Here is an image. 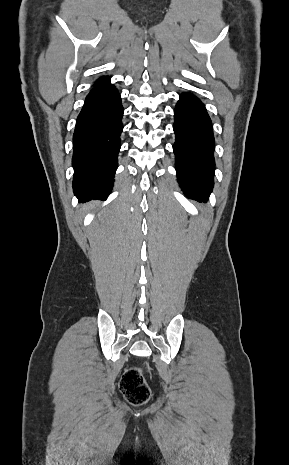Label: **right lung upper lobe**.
<instances>
[{"instance_id":"cb5924a9","label":"right lung upper lobe","mask_w":289,"mask_h":465,"mask_svg":"<svg viewBox=\"0 0 289 465\" xmlns=\"http://www.w3.org/2000/svg\"><path fill=\"white\" fill-rule=\"evenodd\" d=\"M107 80H109V78L106 77V76H103V77H100V78L96 81L95 84L102 83V82H105V81H107Z\"/></svg>"}]
</instances>
